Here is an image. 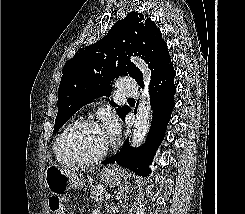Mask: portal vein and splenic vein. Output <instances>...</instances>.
I'll return each mask as SVG.
<instances>
[{
    "label": "portal vein and splenic vein",
    "instance_id": "18ae733b",
    "mask_svg": "<svg viewBox=\"0 0 245 214\" xmlns=\"http://www.w3.org/2000/svg\"><path fill=\"white\" fill-rule=\"evenodd\" d=\"M105 198H106V199H109V198H110V194H107V193H106V194H105Z\"/></svg>",
    "mask_w": 245,
    "mask_h": 214
}]
</instances>
